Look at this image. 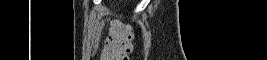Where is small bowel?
I'll return each mask as SVG.
<instances>
[{
  "label": "small bowel",
  "mask_w": 267,
  "mask_h": 60,
  "mask_svg": "<svg viewBox=\"0 0 267 60\" xmlns=\"http://www.w3.org/2000/svg\"><path fill=\"white\" fill-rule=\"evenodd\" d=\"M116 26H117L116 22H113L110 31L114 30Z\"/></svg>",
  "instance_id": "obj_1"
}]
</instances>
